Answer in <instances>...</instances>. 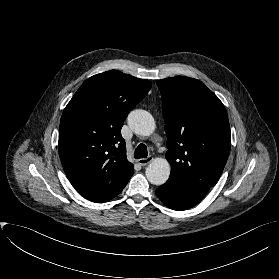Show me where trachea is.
Segmentation results:
<instances>
[{"instance_id": "obj_1", "label": "trachea", "mask_w": 279, "mask_h": 279, "mask_svg": "<svg viewBox=\"0 0 279 279\" xmlns=\"http://www.w3.org/2000/svg\"><path fill=\"white\" fill-rule=\"evenodd\" d=\"M147 156H148V151L146 145L143 143L139 144L135 149L134 157L136 159H140V158H147Z\"/></svg>"}]
</instances>
